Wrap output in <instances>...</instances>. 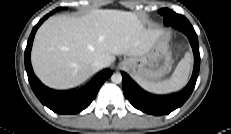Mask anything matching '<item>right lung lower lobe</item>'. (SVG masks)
<instances>
[{
  "instance_id": "98d812e1",
  "label": "right lung lower lobe",
  "mask_w": 231,
  "mask_h": 134,
  "mask_svg": "<svg viewBox=\"0 0 231 134\" xmlns=\"http://www.w3.org/2000/svg\"><path fill=\"white\" fill-rule=\"evenodd\" d=\"M54 11L44 16L36 26H34L25 50V68L28 75L30 86L41 101V103L52 111L59 114H75L79 113L95 99L99 88L112 75L111 70H106L103 73L92 79L87 85L78 91L68 93V91L53 90L45 87L36 78L30 60L31 48L35 33L42 22L47 19Z\"/></svg>"
}]
</instances>
